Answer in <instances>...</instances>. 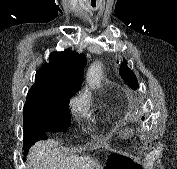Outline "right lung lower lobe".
I'll return each mask as SVG.
<instances>
[{
  "label": "right lung lower lobe",
  "instance_id": "obj_1",
  "mask_svg": "<svg viewBox=\"0 0 177 169\" xmlns=\"http://www.w3.org/2000/svg\"><path fill=\"white\" fill-rule=\"evenodd\" d=\"M46 138L47 136L45 131L24 128V148H26V150L29 149L35 142Z\"/></svg>",
  "mask_w": 177,
  "mask_h": 169
}]
</instances>
